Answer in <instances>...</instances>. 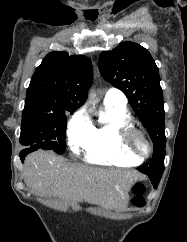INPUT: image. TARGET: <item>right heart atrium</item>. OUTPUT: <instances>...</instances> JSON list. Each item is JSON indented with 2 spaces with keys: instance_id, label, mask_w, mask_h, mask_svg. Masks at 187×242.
<instances>
[{
  "instance_id": "1",
  "label": "right heart atrium",
  "mask_w": 187,
  "mask_h": 242,
  "mask_svg": "<svg viewBox=\"0 0 187 242\" xmlns=\"http://www.w3.org/2000/svg\"><path fill=\"white\" fill-rule=\"evenodd\" d=\"M91 135V123L84 113L80 110L70 119L67 126L68 145L74 153H78L86 146Z\"/></svg>"
}]
</instances>
